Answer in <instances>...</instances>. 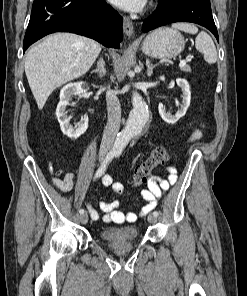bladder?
I'll list each match as a JSON object with an SVG mask.
<instances>
[{"instance_id":"1","label":"bladder","mask_w":247,"mask_h":296,"mask_svg":"<svg viewBox=\"0 0 247 296\" xmlns=\"http://www.w3.org/2000/svg\"><path fill=\"white\" fill-rule=\"evenodd\" d=\"M99 235L105 242L132 241L139 236V228L137 225L106 227L101 229Z\"/></svg>"}]
</instances>
